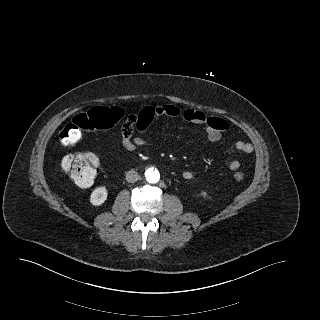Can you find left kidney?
Segmentation results:
<instances>
[{
	"label": "left kidney",
	"instance_id": "1",
	"mask_svg": "<svg viewBox=\"0 0 320 320\" xmlns=\"http://www.w3.org/2000/svg\"><path fill=\"white\" fill-rule=\"evenodd\" d=\"M202 196H207V193L206 192H202Z\"/></svg>",
	"mask_w": 320,
	"mask_h": 320
}]
</instances>
